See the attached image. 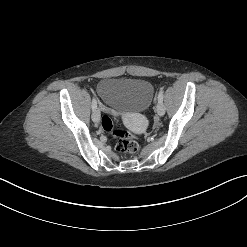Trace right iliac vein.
I'll return each mask as SVG.
<instances>
[{"mask_svg": "<svg viewBox=\"0 0 247 247\" xmlns=\"http://www.w3.org/2000/svg\"><path fill=\"white\" fill-rule=\"evenodd\" d=\"M92 119L95 123H99L100 121V111L99 109H95L92 114Z\"/></svg>", "mask_w": 247, "mask_h": 247, "instance_id": "right-iliac-vein-1", "label": "right iliac vein"}]
</instances>
